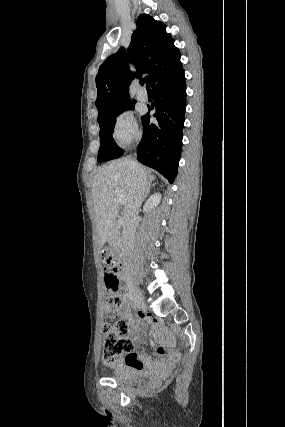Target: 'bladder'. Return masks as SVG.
Returning <instances> with one entry per match:
<instances>
[{"mask_svg": "<svg viewBox=\"0 0 285 427\" xmlns=\"http://www.w3.org/2000/svg\"><path fill=\"white\" fill-rule=\"evenodd\" d=\"M118 381H142L149 377L147 371L142 370L136 366L125 365L116 368L109 376Z\"/></svg>", "mask_w": 285, "mask_h": 427, "instance_id": "31cf9c89", "label": "bladder"}]
</instances>
